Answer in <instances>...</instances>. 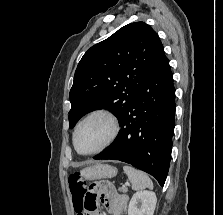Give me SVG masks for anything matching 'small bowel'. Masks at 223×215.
<instances>
[{
    "instance_id": "1",
    "label": "small bowel",
    "mask_w": 223,
    "mask_h": 215,
    "mask_svg": "<svg viewBox=\"0 0 223 215\" xmlns=\"http://www.w3.org/2000/svg\"><path fill=\"white\" fill-rule=\"evenodd\" d=\"M127 201V196L118 193L114 186L107 181L94 182L85 196V202L95 207L89 215H102L97 208L98 202L104 204L113 215H123Z\"/></svg>"
}]
</instances>
